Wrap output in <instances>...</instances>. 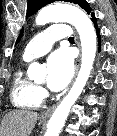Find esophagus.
<instances>
[{"label": "esophagus", "instance_id": "1", "mask_svg": "<svg viewBox=\"0 0 117 136\" xmlns=\"http://www.w3.org/2000/svg\"><path fill=\"white\" fill-rule=\"evenodd\" d=\"M75 41L79 47V39H78V36L75 37ZM79 63H80V56L77 58V61H76V67H75V73H74V78L76 77L77 75V72H78V68H79ZM56 108V105H53L52 107L46 109L44 112L41 113V118H47L49 117L52 112L54 111V109Z\"/></svg>", "mask_w": 117, "mask_h": 136}]
</instances>
